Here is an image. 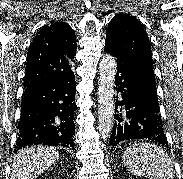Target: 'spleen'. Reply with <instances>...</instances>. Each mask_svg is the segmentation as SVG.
<instances>
[{
	"instance_id": "3e777b00",
	"label": "spleen",
	"mask_w": 183,
	"mask_h": 179,
	"mask_svg": "<svg viewBox=\"0 0 183 179\" xmlns=\"http://www.w3.org/2000/svg\"><path fill=\"white\" fill-rule=\"evenodd\" d=\"M123 163L133 175L149 179H173L174 169L168 153L148 142L129 146L123 154Z\"/></svg>"
}]
</instances>
